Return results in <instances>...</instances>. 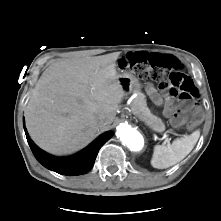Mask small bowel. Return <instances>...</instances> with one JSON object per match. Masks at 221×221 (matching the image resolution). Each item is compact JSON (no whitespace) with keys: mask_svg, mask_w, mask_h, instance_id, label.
Wrapping results in <instances>:
<instances>
[{"mask_svg":"<svg viewBox=\"0 0 221 221\" xmlns=\"http://www.w3.org/2000/svg\"><path fill=\"white\" fill-rule=\"evenodd\" d=\"M134 53H142L145 57H144V59H143V61H145L146 62V58H147V56L149 55V54H151V53H149V52H131V53H129V54H134ZM128 54V55H129ZM127 55V56H128ZM127 56L126 57H124V58H127ZM152 97H153V99H154V101L157 103V104H160L162 101H161V99H160V97L154 92V90H152ZM163 102H164V113H165V115L166 116H168V117H170V116H172L174 113H176L180 108H181V101H177L176 99H175V97L173 96V95H170V94H168V95H166L165 96V98H164V100H163Z\"/></svg>","mask_w":221,"mask_h":221,"instance_id":"c3829d8e","label":"small bowel"}]
</instances>
